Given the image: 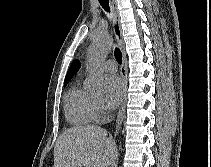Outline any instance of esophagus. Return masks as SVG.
I'll list each match as a JSON object with an SVG mask.
<instances>
[{
  "instance_id": "esophagus-1",
  "label": "esophagus",
  "mask_w": 211,
  "mask_h": 167,
  "mask_svg": "<svg viewBox=\"0 0 211 167\" xmlns=\"http://www.w3.org/2000/svg\"><path fill=\"white\" fill-rule=\"evenodd\" d=\"M110 5L112 8V13H113L112 26H113L114 35L123 56L122 65H121V76L123 79L124 88H123V96H122L120 110L118 112V116L116 119V126H115V136H116L120 130L123 117L125 114V105H126V98H127V59H126L124 41H123L122 30H121V25H120V17H119L116 0H110Z\"/></svg>"
}]
</instances>
